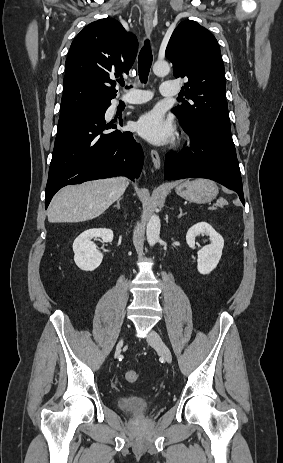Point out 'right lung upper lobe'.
Wrapping results in <instances>:
<instances>
[{
  "instance_id": "cb5924a9",
  "label": "right lung upper lobe",
  "mask_w": 283,
  "mask_h": 463,
  "mask_svg": "<svg viewBox=\"0 0 283 463\" xmlns=\"http://www.w3.org/2000/svg\"><path fill=\"white\" fill-rule=\"evenodd\" d=\"M137 49L136 36L115 19L87 25L72 42L65 63L61 112L116 97L110 77L128 74Z\"/></svg>"
}]
</instances>
